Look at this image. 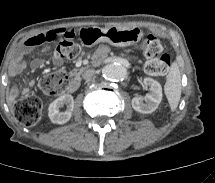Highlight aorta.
<instances>
[{"label": "aorta", "instance_id": "1", "mask_svg": "<svg viewBox=\"0 0 215 183\" xmlns=\"http://www.w3.org/2000/svg\"><path fill=\"white\" fill-rule=\"evenodd\" d=\"M127 68L119 63H110L103 67L102 76L110 81H122L127 76Z\"/></svg>", "mask_w": 215, "mask_h": 183}]
</instances>
